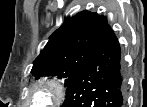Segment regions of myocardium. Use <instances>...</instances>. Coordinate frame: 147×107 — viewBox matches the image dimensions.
I'll use <instances>...</instances> for the list:
<instances>
[{
	"label": "myocardium",
	"instance_id": "f54148a6",
	"mask_svg": "<svg viewBox=\"0 0 147 107\" xmlns=\"http://www.w3.org/2000/svg\"><path fill=\"white\" fill-rule=\"evenodd\" d=\"M42 94L44 100L36 102V97ZM65 96L63 84L55 78H43L34 82L27 94V102L40 104L43 107L56 106L62 102Z\"/></svg>",
	"mask_w": 147,
	"mask_h": 107
}]
</instances>
